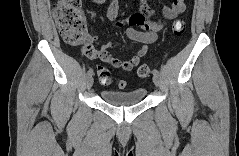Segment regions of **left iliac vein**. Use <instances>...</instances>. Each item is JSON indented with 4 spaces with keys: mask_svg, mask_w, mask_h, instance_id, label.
Segmentation results:
<instances>
[{
    "mask_svg": "<svg viewBox=\"0 0 239 156\" xmlns=\"http://www.w3.org/2000/svg\"><path fill=\"white\" fill-rule=\"evenodd\" d=\"M153 83H154L156 86H159V84H160L159 75H153Z\"/></svg>",
    "mask_w": 239,
    "mask_h": 156,
    "instance_id": "4c4485c4",
    "label": "left iliac vein"
}]
</instances>
